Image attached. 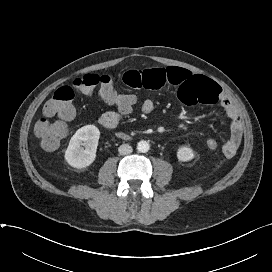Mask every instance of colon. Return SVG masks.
Here are the masks:
<instances>
[{"instance_id": "5ec220e1", "label": "colon", "mask_w": 272, "mask_h": 272, "mask_svg": "<svg viewBox=\"0 0 272 272\" xmlns=\"http://www.w3.org/2000/svg\"><path fill=\"white\" fill-rule=\"evenodd\" d=\"M99 88L101 99L124 113H130L137 103V96L131 93L118 92L112 79L107 75L85 74L76 78L71 86L59 87L43 108L44 117L35 125V133L46 150L55 149L68 133V122L74 116L73 99L75 92L89 96ZM57 116L58 120H52ZM206 145L211 150L219 147V142L209 138Z\"/></svg>"}]
</instances>
